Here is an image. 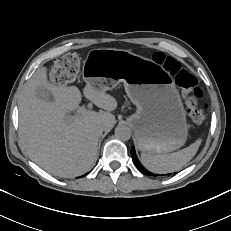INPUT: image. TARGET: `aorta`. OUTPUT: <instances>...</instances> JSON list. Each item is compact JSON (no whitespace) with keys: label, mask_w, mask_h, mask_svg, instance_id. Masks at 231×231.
I'll list each match as a JSON object with an SVG mask.
<instances>
[{"label":"aorta","mask_w":231,"mask_h":231,"mask_svg":"<svg viewBox=\"0 0 231 231\" xmlns=\"http://www.w3.org/2000/svg\"><path fill=\"white\" fill-rule=\"evenodd\" d=\"M115 136L122 141H127L131 137V130L126 125H119L115 129Z\"/></svg>","instance_id":"762f6f07"}]
</instances>
